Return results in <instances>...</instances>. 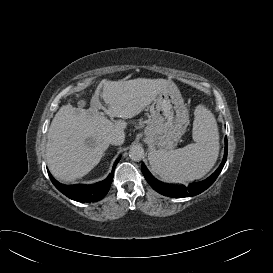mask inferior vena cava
<instances>
[{
  "label": "inferior vena cava",
  "instance_id": "inferior-vena-cava-1",
  "mask_svg": "<svg viewBox=\"0 0 273 273\" xmlns=\"http://www.w3.org/2000/svg\"><path fill=\"white\" fill-rule=\"evenodd\" d=\"M124 139V132L119 129H116L108 136V141L112 145H121L124 142Z\"/></svg>",
  "mask_w": 273,
  "mask_h": 273
}]
</instances>
